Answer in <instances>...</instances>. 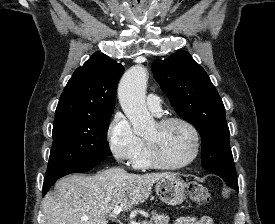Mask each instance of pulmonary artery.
<instances>
[{
    "mask_svg": "<svg viewBox=\"0 0 275 224\" xmlns=\"http://www.w3.org/2000/svg\"><path fill=\"white\" fill-rule=\"evenodd\" d=\"M147 106L155 114H160L161 111V99L159 95L150 93L147 97Z\"/></svg>",
    "mask_w": 275,
    "mask_h": 224,
    "instance_id": "1",
    "label": "pulmonary artery"
}]
</instances>
